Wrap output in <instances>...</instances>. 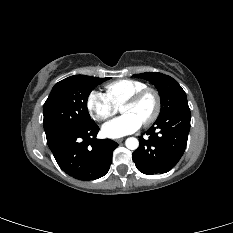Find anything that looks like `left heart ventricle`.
<instances>
[{
    "instance_id": "1",
    "label": "left heart ventricle",
    "mask_w": 233,
    "mask_h": 233,
    "mask_svg": "<svg viewBox=\"0 0 233 233\" xmlns=\"http://www.w3.org/2000/svg\"><path fill=\"white\" fill-rule=\"evenodd\" d=\"M154 109L155 99L153 95L148 94L134 105L121 107L120 111L122 114L134 115L141 123H143L153 114Z\"/></svg>"
}]
</instances>
